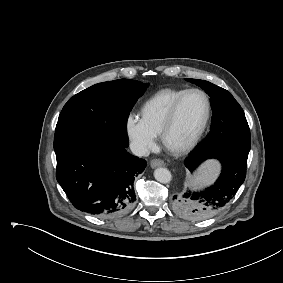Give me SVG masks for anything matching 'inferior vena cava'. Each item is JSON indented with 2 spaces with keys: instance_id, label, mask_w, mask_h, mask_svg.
<instances>
[{
  "instance_id": "inferior-vena-cava-1",
  "label": "inferior vena cava",
  "mask_w": 283,
  "mask_h": 283,
  "mask_svg": "<svg viewBox=\"0 0 283 283\" xmlns=\"http://www.w3.org/2000/svg\"><path fill=\"white\" fill-rule=\"evenodd\" d=\"M130 149L132 153L136 156H145L149 153V150L146 146L136 142H132L130 144Z\"/></svg>"
}]
</instances>
